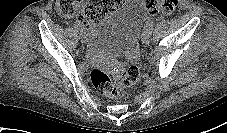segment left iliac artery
Masks as SVG:
<instances>
[{"label":"left iliac artery","instance_id":"left-iliac-artery-1","mask_svg":"<svg viewBox=\"0 0 227 133\" xmlns=\"http://www.w3.org/2000/svg\"><path fill=\"white\" fill-rule=\"evenodd\" d=\"M153 27H154V21H149L146 25V29H149L152 33V30H153Z\"/></svg>","mask_w":227,"mask_h":133}]
</instances>
